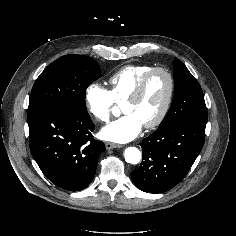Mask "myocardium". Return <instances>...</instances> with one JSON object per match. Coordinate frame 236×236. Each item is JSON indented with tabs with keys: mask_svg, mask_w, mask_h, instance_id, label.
<instances>
[{
	"mask_svg": "<svg viewBox=\"0 0 236 236\" xmlns=\"http://www.w3.org/2000/svg\"><path fill=\"white\" fill-rule=\"evenodd\" d=\"M155 73H162L166 76L168 88H167V94H166L164 104H163L159 114L157 115V117L153 121L144 124V126L148 129L155 128V127L159 126L162 123V121L165 119V117L170 109V106H171V103L173 100V96H174V89H175L174 77H173L172 73L165 67H153L147 73L144 74V76L141 78V80L139 81L137 86L134 88L132 93L125 100V102H133V101L138 100L141 97V95L143 94L148 81Z\"/></svg>",
	"mask_w": 236,
	"mask_h": 236,
	"instance_id": "myocardium-1",
	"label": "myocardium"
}]
</instances>
